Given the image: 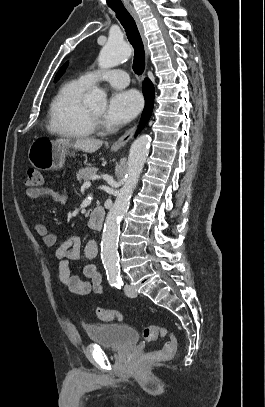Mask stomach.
I'll return each instance as SVG.
<instances>
[{
  "instance_id": "stomach-1",
  "label": "stomach",
  "mask_w": 265,
  "mask_h": 407,
  "mask_svg": "<svg viewBox=\"0 0 265 407\" xmlns=\"http://www.w3.org/2000/svg\"><path fill=\"white\" fill-rule=\"evenodd\" d=\"M69 148L48 139L33 141L28 151V160L37 169L48 171L63 167Z\"/></svg>"
}]
</instances>
